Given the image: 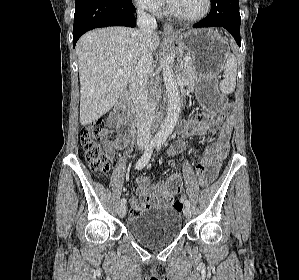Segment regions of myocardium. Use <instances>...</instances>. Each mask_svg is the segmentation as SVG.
Returning <instances> with one entry per match:
<instances>
[{"label":"myocardium","mask_w":299,"mask_h":280,"mask_svg":"<svg viewBox=\"0 0 299 280\" xmlns=\"http://www.w3.org/2000/svg\"><path fill=\"white\" fill-rule=\"evenodd\" d=\"M211 9V0H205V7L204 10L201 14H199L198 16L195 17H188L185 16L181 13H179L178 11H176L169 0H167V11L170 15H172L173 17L182 20V21H186V22H198L201 21L202 19H204L210 12Z\"/></svg>","instance_id":"obj_1"}]
</instances>
